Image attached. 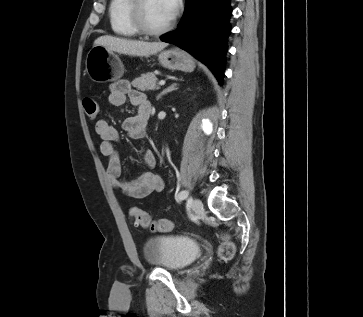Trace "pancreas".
Listing matches in <instances>:
<instances>
[{
  "label": "pancreas",
  "mask_w": 363,
  "mask_h": 317,
  "mask_svg": "<svg viewBox=\"0 0 363 317\" xmlns=\"http://www.w3.org/2000/svg\"><path fill=\"white\" fill-rule=\"evenodd\" d=\"M157 81L158 79L156 76L153 73L148 72L134 79L132 81V86L141 91L156 90L159 88Z\"/></svg>",
  "instance_id": "obj_1"
}]
</instances>
